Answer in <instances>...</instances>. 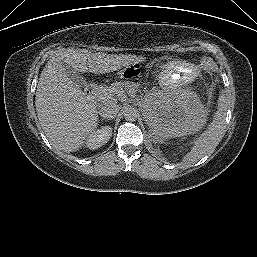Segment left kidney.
<instances>
[{"label":"left kidney","instance_id":"5707ae66","mask_svg":"<svg viewBox=\"0 0 257 257\" xmlns=\"http://www.w3.org/2000/svg\"><path fill=\"white\" fill-rule=\"evenodd\" d=\"M143 115L151 133L160 139L194 134L206 121L198 97L186 91L153 96L147 102Z\"/></svg>","mask_w":257,"mask_h":257}]
</instances>
